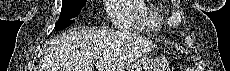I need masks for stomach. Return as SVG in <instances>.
<instances>
[{
    "label": "stomach",
    "mask_w": 230,
    "mask_h": 71,
    "mask_svg": "<svg viewBox=\"0 0 230 71\" xmlns=\"http://www.w3.org/2000/svg\"><path fill=\"white\" fill-rule=\"evenodd\" d=\"M160 65L162 66H150L148 62L141 61L136 63L135 65L126 66L122 71H162L161 69H164V67L166 66V62L161 61Z\"/></svg>",
    "instance_id": "obj_1"
}]
</instances>
